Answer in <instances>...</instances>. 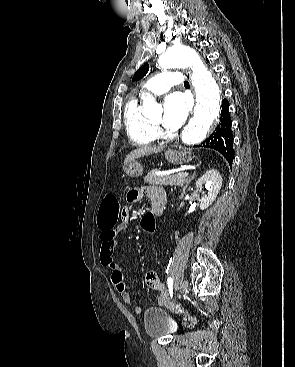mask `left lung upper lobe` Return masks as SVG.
Wrapping results in <instances>:
<instances>
[{
  "label": "left lung upper lobe",
  "instance_id": "5c2ea615",
  "mask_svg": "<svg viewBox=\"0 0 295 367\" xmlns=\"http://www.w3.org/2000/svg\"><path fill=\"white\" fill-rule=\"evenodd\" d=\"M148 70H149L148 65L141 66V67L137 70V72L134 74V76H133V81H134V80H139V79H141L143 76H145V75H146V73L148 72Z\"/></svg>",
  "mask_w": 295,
  "mask_h": 367
}]
</instances>
